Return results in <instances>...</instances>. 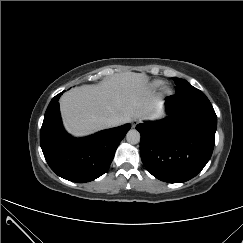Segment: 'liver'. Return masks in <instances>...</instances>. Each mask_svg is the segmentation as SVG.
I'll list each match as a JSON object with an SVG mask.
<instances>
[{"label": "liver", "instance_id": "liver-1", "mask_svg": "<svg viewBox=\"0 0 243 243\" xmlns=\"http://www.w3.org/2000/svg\"><path fill=\"white\" fill-rule=\"evenodd\" d=\"M143 73H117L96 85L73 88L60 98L64 125L75 136L107 128L106 119L119 117L121 124L133 118L154 120L163 114L161 97L148 86Z\"/></svg>", "mask_w": 243, "mask_h": 243}]
</instances>
